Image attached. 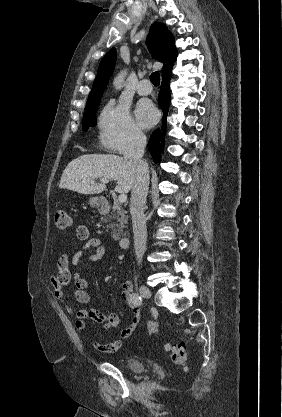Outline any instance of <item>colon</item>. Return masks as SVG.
<instances>
[{
	"instance_id": "colon-1",
	"label": "colon",
	"mask_w": 282,
	"mask_h": 417,
	"mask_svg": "<svg viewBox=\"0 0 282 417\" xmlns=\"http://www.w3.org/2000/svg\"><path fill=\"white\" fill-rule=\"evenodd\" d=\"M72 225L70 212L67 209H57L53 216V226L57 230L68 229ZM159 330V323L151 320L148 323L147 331L150 337H154ZM164 351L169 356L172 363L182 366L184 370L186 367L187 352L185 345L182 342L172 343L166 342L164 344Z\"/></svg>"
}]
</instances>
